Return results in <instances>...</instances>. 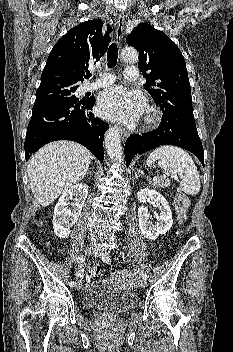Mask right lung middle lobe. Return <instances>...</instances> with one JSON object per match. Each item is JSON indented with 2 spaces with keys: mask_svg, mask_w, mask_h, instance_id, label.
I'll return each mask as SVG.
<instances>
[{
  "mask_svg": "<svg viewBox=\"0 0 233 352\" xmlns=\"http://www.w3.org/2000/svg\"><path fill=\"white\" fill-rule=\"evenodd\" d=\"M78 86L48 85L39 87L36 91L34 105L43 103L74 102L79 99L74 95Z\"/></svg>",
  "mask_w": 233,
  "mask_h": 352,
  "instance_id": "right-lung-middle-lobe-1",
  "label": "right lung middle lobe"
}]
</instances>
